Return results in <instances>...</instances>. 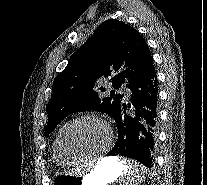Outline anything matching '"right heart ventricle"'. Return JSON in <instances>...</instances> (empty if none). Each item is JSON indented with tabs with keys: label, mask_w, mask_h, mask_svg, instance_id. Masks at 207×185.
Returning <instances> with one entry per match:
<instances>
[{
	"label": "right heart ventricle",
	"mask_w": 207,
	"mask_h": 185,
	"mask_svg": "<svg viewBox=\"0 0 207 185\" xmlns=\"http://www.w3.org/2000/svg\"><path fill=\"white\" fill-rule=\"evenodd\" d=\"M69 122L64 123L58 130L53 143V156L55 161L61 166H70L82 160L71 158L63 149L62 136Z\"/></svg>",
	"instance_id": "1"
}]
</instances>
